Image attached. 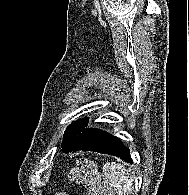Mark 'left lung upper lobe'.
Listing matches in <instances>:
<instances>
[{
	"instance_id": "5c2ea615",
	"label": "left lung upper lobe",
	"mask_w": 189,
	"mask_h": 195,
	"mask_svg": "<svg viewBox=\"0 0 189 195\" xmlns=\"http://www.w3.org/2000/svg\"><path fill=\"white\" fill-rule=\"evenodd\" d=\"M87 122H88V118H84L81 120H77L75 123L70 125L64 133V139L61 146L67 144L81 129V127L85 125Z\"/></svg>"
}]
</instances>
